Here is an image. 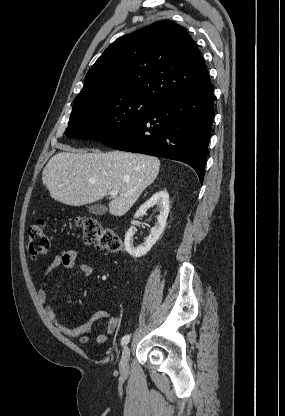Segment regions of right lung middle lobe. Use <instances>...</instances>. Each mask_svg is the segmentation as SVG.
Segmentation results:
<instances>
[{
    "label": "right lung middle lobe",
    "mask_w": 285,
    "mask_h": 416,
    "mask_svg": "<svg viewBox=\"0 0 285 416\" xmlns=\"http://www.w3.org/2000/svg\"><path fill=\"white\" fill-rule=\"evenodd\" d=\"M156 106L144 98L126 97L72 110L65 135L100 141L135 124Z\"/></svg>",
    "instance_id": "right-lung-middle-lobe-1"
}]
</instances>
